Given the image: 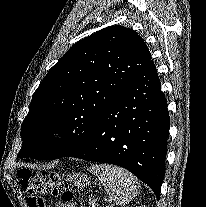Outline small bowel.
Returning <instances> with one entry per match:
<instances>
[{"mask_svg":"<svg viewBox=\"0 0 206 207\" xmlns=\"http://www.w3.org/2000/svg\"><path fill=\"white\" fill-rule=\"evenodd\" d=\"M56 207H75V206L71 203H64V202L58 201L56 203Z\"/></svg>","mask_w":206,"mask_h":207,"instance_id":"1","label":"small bowel"}]
</instances>
